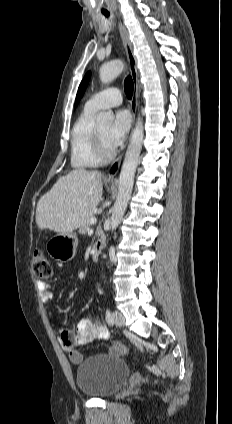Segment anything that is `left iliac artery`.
I'll return each mask as SVG.
<instances>
[{
  "mask_svg": "<svg viewBox=\"0 0 232 424\" xmlns=\"http://www.w3.org/2000/svg\"><path fill=\"white\" fill-rule=\"evenodd\" d=\"M106 321L109 325H113V317L109 309L106 310Z\"/></svg>",
  "mask_w": 232,
  "mask_h": 424,
  "instance_id": "44dca946",
  "label": "left iliac artery"
}]
</instances>
